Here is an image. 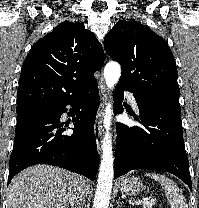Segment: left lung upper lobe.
<instances>
[{
	"label": "left lung upper lobe",
	"mask_w": 199,
	"mask_h": 208,
	"mask_svg": "<svg viewBox=\"0 0 199 208\" xmlns=\"http://www.w3.org/2000/svg\"><path fill=\"white\" fill-rule=\"evenodd\" d=\"M104 47L121 64L118 84L151 103L180 107L177 67L163 38L139 22L121 20L105 36Z\"/></svg>",
	"instance_id": "1"
}]
</instances>
